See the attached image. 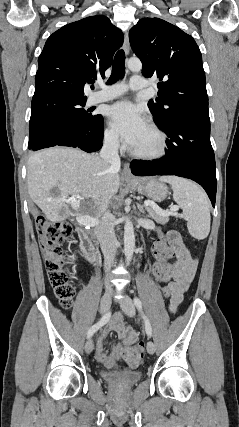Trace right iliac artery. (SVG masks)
<instances>
[{
    "label": "right iliac artery",
    "mask_w": 239,
    "mask_h": 427,
    "mask_svg": "<svg viewBox=\"0 0 239 427\" xmlns=\"http://www.w3.org/2000/svg\"><path fill=\"white\" fill-rule=\"evenodd\" d=\"M111 317V312H107L96 324H94L88 331L87 337L91 338L93 334L101 328L103 325H105Z\"/></svg>",
    "instance_id": "right-iliac-artery-1"
}]
</instances>
